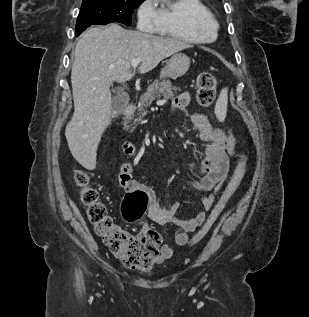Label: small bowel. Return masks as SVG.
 <instances>
[{
	"mask_svg": "<svg viewBox=\"0 0 309 317\" xmlns=\"http://www.w3.org/2000/svg\"><path fill=\"white\" fill-rule=\"evenodd\" d=\"M189 102V93L182 92L174 98L172 108L184 110ZM190 119L203 143L200 162L196 169L199 177L190 182L194 190L204 193L201 200L203 210L194 218L189 220L180 218L178 216L179 203H173L168 207L161 206L154 193L142 181L132 177L133 165L130 162L123 164L118 177L123 191L127 193L143 191L147 194V213L152 221L158 224L172 223L178 227L174 235V243L178 246L185 245L188 242L189 233L205 223L206 212L212 209L219 192L229 178V156L238 154V139L230 129L214 127L206 116L199 113L192 114ZM140 226V233L148 228L146 221H142ZM173 253V244H165L160 254L155 257V261L161 263L171 258Z\"/></svg>",
	"mask_w": 309,
	"mask_h": 317,
	"instance_id": "obj_1",
	"label": "small bowel"
}]
</instances>
